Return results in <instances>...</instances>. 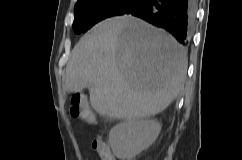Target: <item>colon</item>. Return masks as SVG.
<instances>
[{"label": "colon", "instance_id": "5ec220e1", "mask_svg": "<svg viewBox=\"0 0 242 160\" xmlns=\"http://www.w3.org/2000/svg\"><path fill=\"white\" fill-rule=\"evenodd\" d=\"M70 113L73 117L78 118L86 123L96 124L97 122L86 98L80 93H76L72 96ZM93 148L96 151L99 149L97 153L101 160H110L113 157L107 145L100 139H96L93 142Z\"/></svg>", "mask_w": 242, "mask_h": 160}]
</instances>
